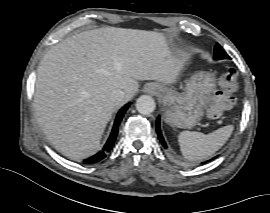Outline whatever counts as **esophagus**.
Masks as SVG:
<instances>
[{"instance_id":"1","label":"esophagus","mask_w":270,"mask_h":213,"mask_svg":"<svg viewBox=\"0 0 270 213\" xmlns=\"http://www.w3.org/2000/svg\"><path fill=\"white\" fill-rule=\"evenodd\" d=\"M144 92L149 93V94H155L156 93L154 86L151 85V84L145 85Z\"/></svg>"}]
</instances>
